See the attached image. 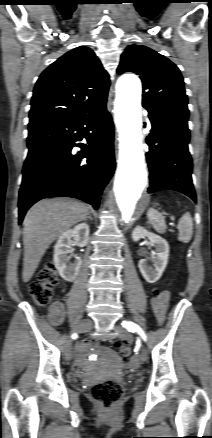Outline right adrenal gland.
<instances>
[{"label":"right adrenal gland","mask_w":212,"mask_h":438,"mask_svg":"<svg viewBox=\"0 0 212 438\" xmlns=\"http://www.w3.org/2000/svg\"><path fill=\"white\" fill-rule=\"evenodd\" d=\"M88 219L92 220V216H91L90 212H89L87 218L85 219V221H87Z\"/></svg>","instance_id":"1"}]
</instances>
